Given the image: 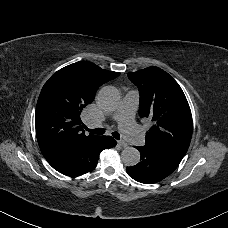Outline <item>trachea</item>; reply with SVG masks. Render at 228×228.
Here are the masks:
<instances>
[{
    "instance_id": "3493384b",
    "label": "trachea",
    "mask_w": 228,
    "mask_h": 228,
    "mask_svg": "<svg viewBox=\"0 0 228 228\" xmlns=\"http://www.w3.org/2000/svg\"><path fill=\"white\" fill-rule=\"evenodd\" d=\"M85 129H86L88 132L92 133V134L102 135V134L105 133V129H104V128L89 129V128H87V127L85 126ZM112 136H113L115 139H117V140L120 139V134H119L117 131L113 132V133H112Z\"/></svg>"
}]
</instances>
